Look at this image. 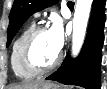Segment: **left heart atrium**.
<instances>
[{"label": "left heart atrium", "instance_id": "39dd6f15", "mask_svg": "<svg viewBox=\"0 0 107 89\" xmlns=\"http://www.w3.org/2000/svg\"><path fill=\"white\" fill-rule=\"evenodd\" d=\"M55 48L60 51L64 44V33L60 21H55L48 31Z\"/></svg>", "mask_w": 107, "mask_h": 89}]
</instances>
